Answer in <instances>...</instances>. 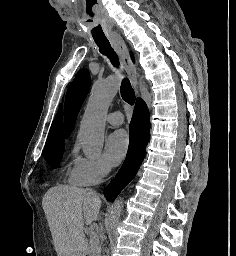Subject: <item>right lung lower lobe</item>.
<instances>
[{
	"mask_svg": "<svg viewBox=\"0 0 236 256\" xmlns=\"http://www.w3.org/2000/svg\"><path fill=\"white\" fill-rule=\"evenodd\" d=\"M129 128L127 157L114 180L104 189V196L111 202L135 177L145 156V148L150 137V119L148 108L140 98L137 99Z\"/></svg>",
	"mask_w": 236,
	"mask_h": 256,
	"instance_id": "obj_1",
	"label": "right lung lower lobe"
}]
</instances>
